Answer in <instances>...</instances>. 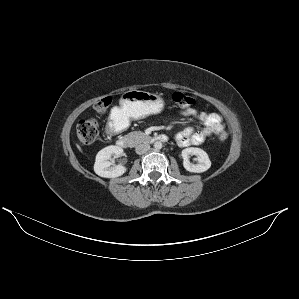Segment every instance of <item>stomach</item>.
Instances as JSON below:
<instances>
[{
    "label": "stomach",
    "mask_w": 299,
    "mask_h": 299,
    "mask_svg": "<svg viewBox=\"0 0 299 299\" xmlns=\"http://www.w3.org/2000/svg\"><path fill=\"white\" fill-rule=\"evenodd\" d=\"M119 105L120 112L126 119H141L161 112L164 100L160 94L129 90L121 96Z\"/></svg>",
    "instance_id": "1"
}]
</instances>
